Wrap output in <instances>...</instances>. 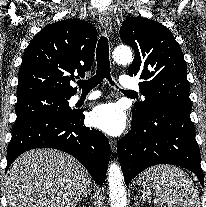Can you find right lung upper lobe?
<instances>
[{"mask_svg": "<svg viewBox=\"0 0 206 207\" xmlns=\"http://www.w3.org/2000/svg\"><path fill=\"white\" fill-rule=\"evenodd\" d=\"M96 40L95 28L82 20L68 19L46 26L25 50L17 98L43 93L74 95L77 88L71 82L84 77L92 66Z\"/></svg>", "mask_w": 206, "mask_h": 207, "instance_id": "obj_1", "label": "right lung upper lobe"}]
</instances>
